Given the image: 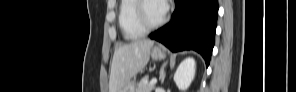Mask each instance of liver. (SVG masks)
<instances>
[{"mask_svg": "<svg viewBox=\"0 0 296 92\" xmlns=\"http://www.w3.org/2000/svg\"><path fill=\"white\" fill-rule=\"evenodd\" d=\"M154 42L135 40L115 49L111 64L109 92H119L149 61Z\"/></svg>", "mask_w": 296, "mask_h": 92, "instance_id": "liver-1", "label": "liver"}]
</instances>
